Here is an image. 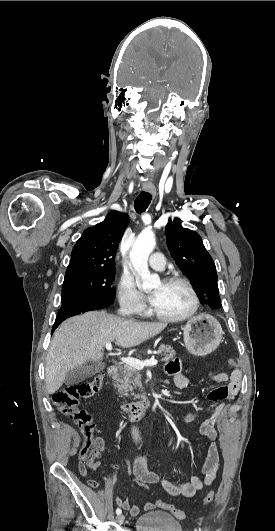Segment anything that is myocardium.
<instances>
[{
    "mask_svg": "<svg viewBox=\"0 0 275 531\" xmlns=\"http://www.w3.org/2000/svg\"><path fill=\"white\" fill-rule=\"evenodd\" d=\"M162 282H176V283H180L183 286H185L186 289L190 293L192 304H191L190 309L186 313H184L183 315H180V316H164V315L160 314L155 309L154 303H152V311H153L154 315L158 319H160L162 321H165V322H168V323L183 322V321H186L189 318H191L197 312L198 307H199V297H198V294H197L193 284L186 277H183V276H180V275L168 276V277L164 278Z\"/></svg>",
    "mask_w": 275,
    "mask_h": 531,
    "instance_id": "1",
    "label": "myocardium"
}]
</instances>
